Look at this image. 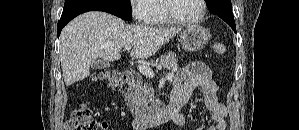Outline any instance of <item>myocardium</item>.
Returning a JSON list of instances; mask_svg holds the SVG:
<instances>
[{
    "instance_id": "1",
    "label": "myocardium",
    "mask_w": 299,
    "mask_h": 130,
    "mask_svg": "<svg viewBox=\"0 0 299 130\" xmlns=\"http://www.w3.org/2000/svg\"><path fill=\"white\" fill-rule=\"evenodd\" d=\"M171 1H173V0H164L163 1V8H164L165 16H166L167 20L171 23L182 25V26H191V25L199 23L204 18L205 14H206V1L198 0L199 5H200V12L195 18H192V19L178 18L171 11V7H170Z\"/></svg>"
}]
</instances>
